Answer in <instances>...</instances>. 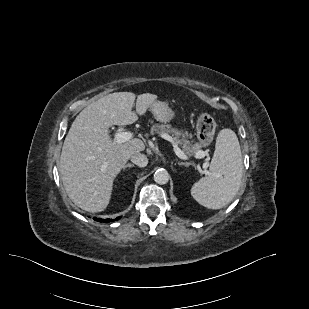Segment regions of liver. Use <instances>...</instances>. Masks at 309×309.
I'll return each mask as SVG.
<instances>
[{
	"label": "liver",
	"mask_w": 309,
	"mask_h": 309,
	"mask_svg": "<svg viewBox=\"0 0 309 309\" xmlns=\"http://www.w3.org/2000/svg\"><path fill=\"white\" fill-rule=\"evenodd\" d=\"M135 98L132 92H115L91 103L75 118L64 140L61 179L69 198L85 211L106 209L114 179L134 153L145 149L139 138L114 143L108 131L112 125L136 122L157 101L154 94L138 95L133 112Z\"/></svg>",
	"instance_id": "6515ba94"
}]
</instances>
